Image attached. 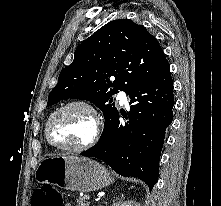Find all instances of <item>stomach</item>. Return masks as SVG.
<instances>
[{
    "label": "stomach",
    "instance_id": "1",
    "mask_svg": "<svg viewBox=\"0 0 221 206\" xmlns=\"http://www.w3.org/2000/svg\"><path fill=\"white\" fill-rule=\"evenodd\" d=\"M35 177L38 183L49 182L58 188L82 192L95 191L113 182V177L100 163L66 155L43 158Z\"/></svg>",
    "mask_w": 221,
    "mask_h": 206
}]
</instances>
